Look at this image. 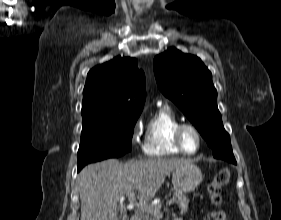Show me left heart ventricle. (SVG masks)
<instances>
[{
  "mask_svg": "<svg viewBox=\"0 0 281 220\" xmlns=\"http://www.w3.org/2000/svg\"><path fill=\"white\" fill-rule=\"evenodd\" d=\"M183 143L187 151H194L198 145L196 135L190 130L185 131L183 134Z\"/></svg>",
  "mask_w": 281,
  "mask_h": 220,
  "instance_id": "left-heart-ventricle-1",
  "label": "left heart ventricle"
}]
</instances>
